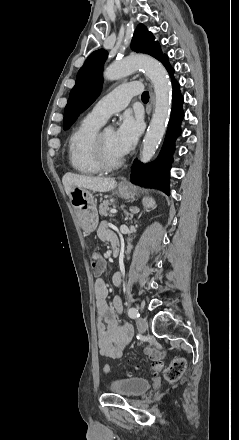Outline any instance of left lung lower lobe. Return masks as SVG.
<instances>
[{
  "instance_id": "left-lung-lower-lobe-1",
  "label": "left lung lower lobe",
  "mask_w": 239,
  "mask_h": 440,
  "mask_svg": "<svg viewBox=\"0 0 239 440\" xmlns=\"http://www.w3.org/2000/svg\"><path fill=\"white\" fill-rule=\"evenodd\" d=\"M163 65L172 77L173 101L171 118L167 129L162 151L155 163L143 165L137 160L132 166V180L148 186H159L169 194V170L172 163L174 152V141L180 135V123L184 118L182 111L183 97L180 94L179 85L173 78L174 70L165 55L161 60Z\"/></svg>"
}]
</instances>
